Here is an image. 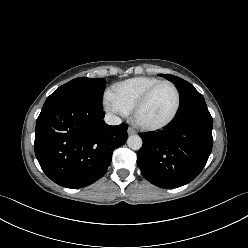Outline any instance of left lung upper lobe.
<instances>
[{"mask_svg": "<svg viewBox=\"0 0 248 248\" xmlns=\"http://www.w3.org/2000/svg\"><path fill=\"white\" fill-rule=\"evenodd\" d=\"M162 76L172 81L179 91L180 107L178 114L197 104L205 103L203 96L187 81L170 74H163Z\"/></svg>", "mask_w": 248, "mask_h": 248, "instance_id": "1", "label": "left lung upper lobe"}]
</instances>
